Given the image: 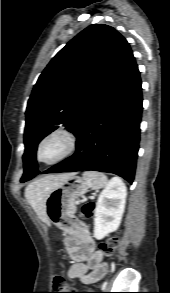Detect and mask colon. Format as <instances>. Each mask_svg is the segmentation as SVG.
Listing matches in <instances>:
<instances>
[{"instance_id":"colon-1","label":"colon","mask_w":170,"mask_h":293,"mask_svg":"<svg viewBox=\"0 0 170 293\" xmlns=\"http://www.w3.org/2000/svg\"><path fill=\"white\" fill-rule=\"evenodd\" d=\"M82 213L85 216L91 215V213L94 210V203L93 202H87L85 203L82 208ZM64 231L70 235H76L80 237L86 244H88V241L84 239V227L81 224H67V226L64 227ZM118 245V238L116 236H113L109 238L104 244L101 245L100 250L108 255L111 254ZM53 286L54 289L58 292L56 293H86V292H75V288L69 286L65 279L57 275L53 279Z\"/></svg>"}]
</instances>
